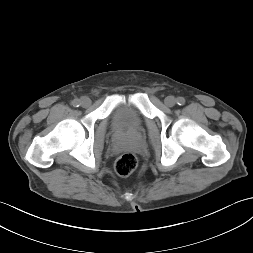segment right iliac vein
I'll return each mask as SVG.
<instances>
[{
  "instance_id": "63e3f726",
  "label": "right iliac vein",
  "mask_w": 253,
  "mask_h": 253,
  "mask_svg": "<svg viewBox=\"0 0 253 253\" xmlns=\"http://www.w3.org/2000/svg\"><path fill=\"white\" fill-rule=\"evenodd\" d=\"M80 104L83 106V107H88V106H90V104H91V100H90V98H88V97H82L81 98V100H80Z\"/></svg>"
}]
</instances>
